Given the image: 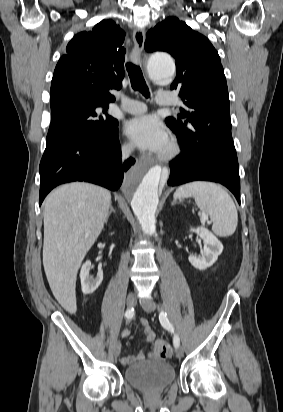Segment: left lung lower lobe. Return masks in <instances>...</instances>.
I'll use <instances>...</instances> for the list:
<instances>
[{"label":"left lung lower lobe","mask_w":283,"mask_h":412,"mask_svg":"<svg viewBox=\"0 0 283 412\" xmlns=\"http://www.w3.org/2000/svg\"><path fill=\"white\" fill-rule=\"evenodd\" d=\"M182 153L170 162L168 185L176 186L195 180L218 182L226 186L240 203L238 161L210 156L194 132L175 133Z\"/></svg>","instance_id":"1"}]
</instances>
